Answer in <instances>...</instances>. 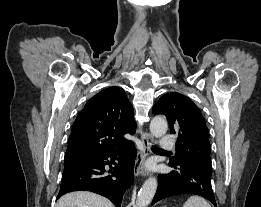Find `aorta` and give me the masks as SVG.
Here are the masks:
<instances>
[{
    "label": "aorta",
    "mask_w": 261,
    "mask_h": 207,
    "mask_svg": "<svg viewBox=\"0 0 261 207\" xmlns=\"http://www.w3.org/2000/svg\"><path fill=\"white\" fill-rule=\"evenodd\" d=\"M167 129L168 123L165 118L156 116L152 119L150 132L153 136L161 137L166 134ZM157 185L158 182L154 177H150L144 182L138 193L136 207H147L150 204L156 193Z\"/></svg>",
    "instance_id": "obj_1"
}]
</instances>
